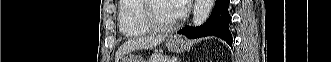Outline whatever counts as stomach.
<instances>
[{
	"label": "stomach",
	"mask_w": 331,
	"mask_h": 62,
	"mask_svg": "<svg viewBox=\"0 0 331 62\" xmlns=\"http://www.w3.org/2000/svg\"><path fill=\"white\" fill-rule=\"evenodd\" d=\"M166 47L168 50L176 53L183 52L186 48L185 41L179 36H171L166 41ZM120 62H145L143 59L137 56H128L123 58Z\"/></svg>",
	"instance_id": "stomach-1"
}]
</instances>
